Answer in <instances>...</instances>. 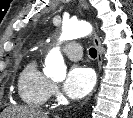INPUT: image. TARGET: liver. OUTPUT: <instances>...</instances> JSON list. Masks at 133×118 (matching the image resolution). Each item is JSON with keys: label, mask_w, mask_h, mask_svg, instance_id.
Wrapping results in <instances>:
<instances>
[{"label": "liver", "mask_w": 133, "mask_h": 118, "mask_svg": "<svg viewBox=\"0 0 133 118\" xmlns=\"http://www.w3.org/2000/svg\"><path fill=\"white\" fill-rule=\"evenodd\" d=\"M9 118H48V114L42 110L31 107H12L6 110Z\"/></svg>", "instance_id": "obj_1"}]
</instances>
